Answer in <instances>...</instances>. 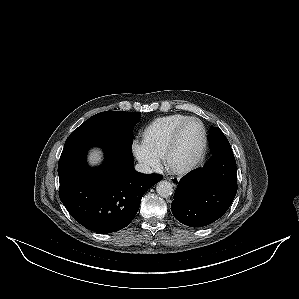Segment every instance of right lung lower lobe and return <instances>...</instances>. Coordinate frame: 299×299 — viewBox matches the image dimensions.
Segmentation results:
<instances>
[{
  "mask_svg": "<svg viewBox=\"0 0 299 299\" xmlns=\"http://www.w3.org/2000/svg\"><path fill=\"white\" fill-rule=\"evenodd\" d=\"M105 152L101 167L90 168L87 150ZM59 197L69 214L85 228L107 234L126 227L136 215L143 194L162 180L134 169L131 148L115 141L68 137L58 164Z\"/></svg>",
  "mask_w": 299,
  "mask_h": 299,
  "instance_id": "right-lung-lower-lobe-1",
  "label": "right lung lower lobe"
}]
</instances>
